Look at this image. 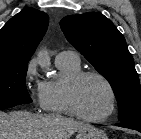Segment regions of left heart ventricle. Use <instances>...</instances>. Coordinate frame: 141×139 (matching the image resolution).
Here are the masks:
<instances>
[{
  "mask_svg": "<svg viewBox=\"0 0 141 139\" xmlns=\"http://www.w3.org/2000/svg\"><path fill=\"white\" fill-rule=\"evenodd\" d=\"M77 99L82 112L91 117L105 115L111 104V96L107 86L96 77H87L80 83Z\"/></svg>",
  "mask_w": 141,
  "mask_h": 139,
  "instance_id": "left-heart-ventricle-1",
  "label": "left heart ventricle"
}]
</instances>
